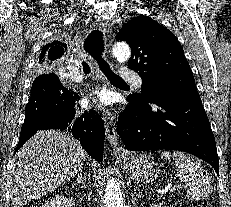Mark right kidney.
<instances>
[{"label":"right kidney","mask_w":231,"mask_h":207,"mask_svg":"<svg viewBox=\"0 0 231 207\" xmlns=\"http://www.w3.org/2000/svg\"><path fill=\"white\" fill-rule=\"evenodd\" d=\"M76 205L73 198L69 199L67 196L58 194L47 200L42 207H75Z\"/></svg>","instance_id":"ca27d5eb"}]
</instances>
